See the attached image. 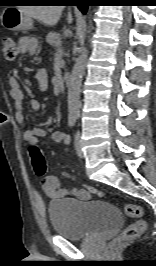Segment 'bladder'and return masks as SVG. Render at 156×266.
I'll list each match as a JSON object with an SVG mask.
<instances>
[{"label":"bladder","mask_w":156,"mask_h":266,"mask_svg":"<svg viewBox=\"0 0 156 266\" xmlns=\"http://www.w3.org/2000/svg\"><path fill=\"white\" fill-rule=\"evenodd\" d=\"M48 213L53 231L69 240H82L116 228L122 223L121 211L100 200H54Z\"/></svg>","instance_id":"31cf9c89"}]
</instances>
